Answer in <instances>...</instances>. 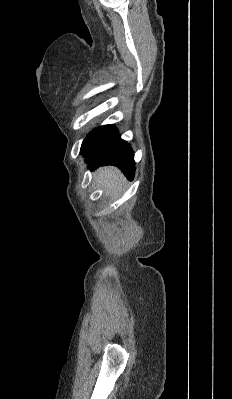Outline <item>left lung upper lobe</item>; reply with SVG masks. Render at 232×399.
Segmentation results:
<instances>
[{
  "label": "left lung upper lobe",
  "mask_w": 232,
  "mask_h": 399,
  "mask_svg": "<svg viewBox=\"0 0 232 399\" xmlns=\"http://www.w3.org/2000/svg\"><path fill=\"white\" fill-rule=\"evenodd\" d=\"M116 132L113 125H105L95 128L83 140L80 153L86 154L90 151L100 148Z\"/></svg>",
  "instance_id": "left-lung-upper-lobe-1"
}]
</instances>
